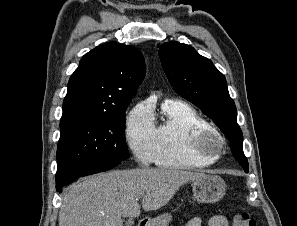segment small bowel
Returning <instances> with one entry per match:
<instances>
[{
  "label": "small bowel",
  "instance_id": "small-bowel-1",
  "mask_svg": "<svg viewBox=\"0 0 297 226\" xmlns=\"http://www.w3.org/2000/svg\"><path fill=\"white\" fill-rule=\"evenodd\" d=\"M203 219L200 216L190 219L186 226H202ZM207 226H229V221L224 215H214L207 221Z\"/></svg>",
  "mask_w": 297,
  "mask_h": 226
}]
</instances>
